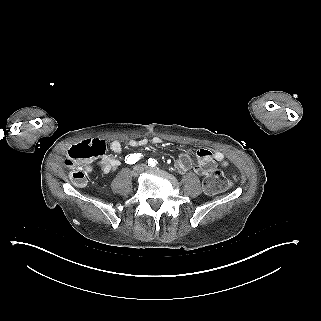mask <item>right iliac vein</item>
I'll return each instance as SVG.
<instances>
[{
  "label": "right iliac vein",
  "mask_w": 321,
  "mask_h": 321,
  "mask_svg": "<svg viewBox=\"0 0 321 321\" xmlns=\"http://www.w3.org/2000/svg\"><path fill=\"white\" fill-rule=\"evenodd\" d=\"M145 165H136L132 170V176L138 177L144 171Z\"/></svg>",
  "instance_id": "1"
}]
</instances>
